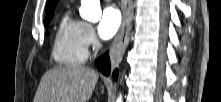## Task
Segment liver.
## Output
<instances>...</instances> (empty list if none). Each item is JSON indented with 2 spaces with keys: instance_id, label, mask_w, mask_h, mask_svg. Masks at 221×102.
<instances>
[{
  "instance_id": "obj_1",
  "label": "liver",
  "mask_w": 221,
  "mask_h": 102,
  "mask_svg": "<svg viewBox=\"0 0 221 102\" xmlns=\"http://www.w3.org/2000/svg\"><path fill=\"white\" fill-rule=\"evenodd\" d=\"M98 81V73L81 66L57 67L41 78L34 102H87Z\"/></svg>"
}]
</instances>
